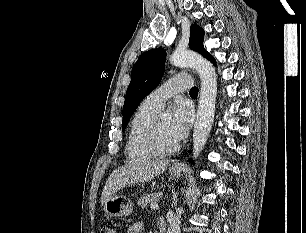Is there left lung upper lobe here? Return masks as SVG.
Listing matches in <instances>:
<instances>
[{
    "label": "left lung upper lobe",
    "mask_w": 306,
    "mask_h": 233,
    "mask_svg": "<svg viewBox=\"0 0 306 233\" xmlns=\"http://www.w3.org/2000/svg\"><path fill=\"white\" fill-rule=\"evenodd\" d=\"M190 32L189 47L211 61L213 56L203 46L204 30L198 25H192ZM165 59L166 51L163 48H157L144 52L134 64L132 79L127 88L123 107V131L139 103L161 81L164 74Z\"/></svg>",
    "instance_id": "1"
}]
</instances>
